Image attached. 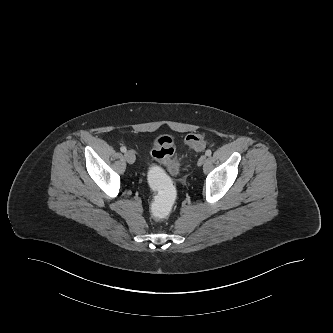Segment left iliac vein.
Wrapping results in <instances>:
<instances>
[{"mask_svg": "<svg viewBox=\"0 0 333 333\" xmlns=\"http://www.w3.org/2000/svg\"><path fill=\"white\" fill-rule=\"evenodd\" d=\"M206 159H207V157L205 155H202L197 162L198 166H202L204 164V162L206 161Z\"/></svg>", "mask_w": 333, "mask_h": 333, "instance_id": "left-iliac-vein-1", "label": "left iliac vein"}]
</instances>
